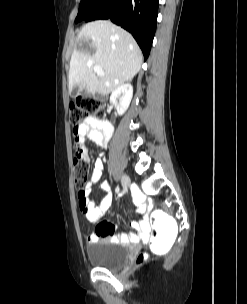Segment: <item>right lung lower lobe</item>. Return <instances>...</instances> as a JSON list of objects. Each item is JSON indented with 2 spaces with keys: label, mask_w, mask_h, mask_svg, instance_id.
I'll list each match as a JSON object with an SVG mask.
<instances>
[{
  "label": "right lung lower lobe",
  "mask_w": 247,
  "mask_h": 304,
  "mask_svg": "<svg viewBox=\"0 0 247 304\" xmlns=\"http://www.w3.org/2000/svg\"><path fill=\"white\" fill-rule=\"evenodd\" d=\"M158 2L159 0H104L84 21L110 19L123 27L133 35L146 60L156 30Z\"/></svg>",
  "instance_id": "obj_1"
}]
</instances>
